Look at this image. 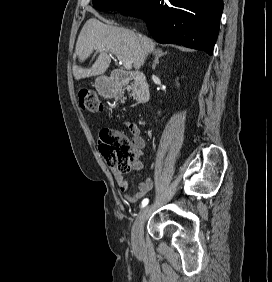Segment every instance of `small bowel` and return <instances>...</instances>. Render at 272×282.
Wrapping results in <instances>:
<instances>
[{"label": "small bowel", "mask_w": 272, "mask_h": 282, "mask_svg": "<svg viewBox=\"0 0 272 282\" xmlns=\"http://www.w3.org/2000/svg\"><path fill=\"white\" fill-rule=\"evenodd\" d=\"M125 125L130 129V131L133 134V138H132L133 148L137 152L141 151L145 146V139L141 134L139 128L135 124H131V123H125ZM132 168L135 171L141 172L143 169V164L139 159H137L133 162ZM111 172L119 187V190L129 202L132 203L138 202L145 194H147L153 188L152 179L147 177L139 183L137 191L132 192L129 183L124 177V174L118 172L114 168H111Z\"/></svg>", "instance_id": "small-bowel-1"}]
</instances>
